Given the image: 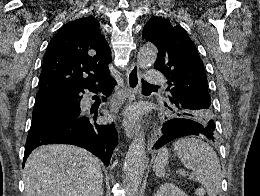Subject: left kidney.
<instances>
[{
  "instance_id": "5707ae66",
  "label": "left kidney",
  "mask_w": 260,
  "mask_h": 196,
  "mask_svg": "<svg viewBox=\"0 0 260 196\" xmlns=\"http://www.w3.org/2000/svg\"><path fill=\"white\" fill-rule=\"evenodd\" d=\"M155 196H186V194L178 186H174L170 182H164V184H161L159 190H157Z\"/></svg>"
}]
</instances>
